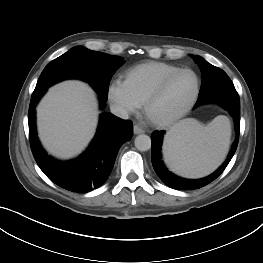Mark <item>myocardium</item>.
Returning <instances> with one entry per match:
<instances>
[{"instance_id":"obj_1","label":"myocardium","mask_w":263,"mask_h":263,"mask_svg":"<svg viewBox=\"0 0 263 263\" xmlns=\"http://www.w3.org/2000/svg\"><path fill=\"white\" fill-rule=\"evenodd\" d=\"M183 72H191L196 79V85H195V90L188 100V102L184 105V107L175 113L174 115H171L166 118H155L151 114V108L153 104L159 99V97L162 95L164 90L166 89L167 85L169 82L175 78L177 75L183 73ZM201 89V80L199 74L192 68L189 67H184V68H179L170 74L166 75L158 84L157 86L153 89V91L148 95L144 102V113L147 117V119L154 125L159 126V127H166L169 125L174 124L181 118H183L188 112L192 109V107L195 105L199 93Z\"/></svg>"}]
</instances>
